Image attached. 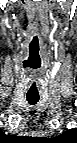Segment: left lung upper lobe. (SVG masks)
<instances>
[{"mask_svg":"<svg viewBox=\"0 0 77 143\" xmlns=\"http://www.w3.org/2000/svg\"><path fill=\"white\" fill-rule=\"evenodd\" d=\"M75 136H76L75 129H70L64 132L63 134H61L60 136H58V138L62 140H73Z\"/></svg>","mask_w":77,"mask_h":143,"instance_id":"5c2ea615","label":"left lung upper lobe"}]
</instances>
